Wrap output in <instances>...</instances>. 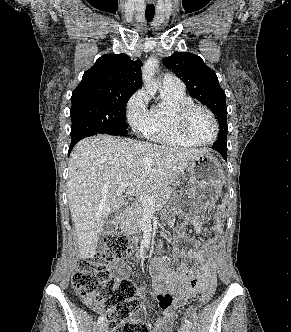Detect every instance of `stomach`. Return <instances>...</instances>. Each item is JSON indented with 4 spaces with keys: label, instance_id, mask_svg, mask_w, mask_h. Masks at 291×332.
<instances>
[{
    "label": "stomach",
    "instance_id": "obj_1",
    "mask_svg": "<svg viewBox=\"0 0 291 332\" xmlns=\"http://www.w3.org/2000/svg\"><path fill=\"white\" fill-rule=\"evenodd\" d=\"M189 188L176 195L171 205L187 207L193 213H200L217 200L224 183V172L217 158L210 152L202 153L188 162Z\"/></svg>",
    "mask_w": 291,
    "mask_h": 332
}]
</instances>
